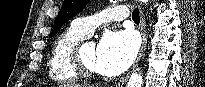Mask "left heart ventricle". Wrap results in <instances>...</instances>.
<instances>
[{
	"label": "left heart ventricle",
	"mask_w": 205,
	"mask_h": 87,
	"mask_svg": "<svg viewBox=\"0 0 205 87\" xmlns=\"http://www.w3.org/2000/svg\"><path fill=\"white\" fill-rule=\"evenodd\" d=\"M96 56V48L92 45H84L81 49V57L83 63L90 69H94V61Z\"/></svg>",
	"instance_id": "obj_1"
}]
</instances>
